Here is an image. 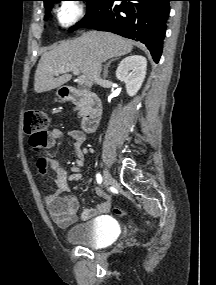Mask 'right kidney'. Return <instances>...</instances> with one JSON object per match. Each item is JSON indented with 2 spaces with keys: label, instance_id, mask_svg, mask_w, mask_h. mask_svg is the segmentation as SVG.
Listing matches in <instances>:
<instances>
[{
  "label": "right kidney",
  "instance_id": "1",
  "mask_svg": "<svg viewBox=\"0 0 216 285\" xmlns=\"http://www.w3.org/2000/svg\"><path fill=\"white\" fill-rule=\"evenodd\" d=\"M147 60L141 55H132L124 58L117 70L116 77L126 85L129 96H134L139 91L145 79Z\"/></svg>",
  "mask_w": 216,
  "mask_h": 285
}]
</instances>
